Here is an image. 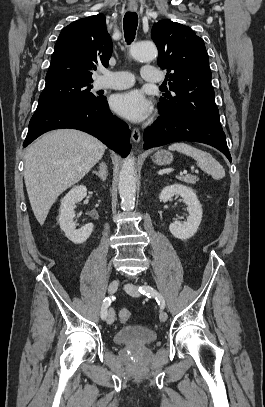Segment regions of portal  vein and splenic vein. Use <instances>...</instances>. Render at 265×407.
<instances>
[{"instance_id":"18ae733b","label":"portal vein and splenic vein","mask_w":265,"mask_h":407,"mask_svg":"<svg viewBox=\"0 0 265 407\" xmlns=\"http://www.w3.org/2000/svg\"><path fill=\"white\" fill-rule=\"evenodd\" d=\"M182 173H183V174H186V173H187V171H186V170H184Z\"/></svg>"}]
</instances>
